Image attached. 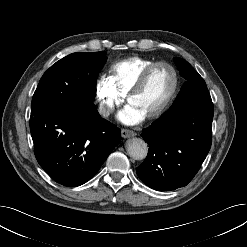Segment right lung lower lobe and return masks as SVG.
<instances>
[{"label":"right lung lower lobe","mask_w":247,"mask_h":247,"mask_svg":"<svg viewBox=\"0 0 247 247\" xmlns=\"http://www.w3.org/2000/svg\"><path fill=\"white\" fill-rule=\"evenodd\" d=\"M30 130L40 166L69 187L90 180L121 141V131L97 109L84 112L60 103L31 114Z\"/></svg>","instance_id":"98d812e1"}]
</instances>
